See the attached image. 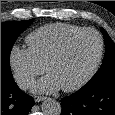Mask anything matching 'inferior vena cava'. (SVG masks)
I'll return each mask as SVG.
<instances>
[{
  "label": "inferior vena cava",
  "mask_w": 115,
  "mask_h": 115,
  "mask_svg": "<svg viewBox=\"0 0 115 115\" xmlns=\"http://www.w3.org/2000/svg\"><path fill=\"white\" fill-rule=\"evenodd\" d=\"M16 81L18 86L23 90L28 89L32 83L31 78L25 76L18 77Z\"/></svg>",
  "instance_id": "1"
}]
</instances>
